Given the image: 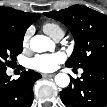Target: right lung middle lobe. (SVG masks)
<instances>
[{
    "instance_id": "obj_1",
    "label": "right lung middle lobe",
    "mask_w": 107,
    "mask_h": 107,
    "mask_svg": "<svg viewBox=\"0 0 107 107\" xmlns=\"http://www.w3.org/2000/svg\"><path fill=\"white\" fill-rule=\"evenodd\" d=\"M24 34L25 30L0 18V69L12 66L15 57L22 52Z\"/></svg>"
}]
</instances>
